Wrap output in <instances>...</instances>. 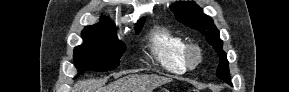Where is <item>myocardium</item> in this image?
<instances>
[{
  "mask_svg": "<svg viewBox=\"0 0 289 92\" xmlns=\"http://www.w3.org/2000/svg\"><path fill=\"white\" fill-rule=\"evenodd\" d=\"M185 65L189 69L196 68L202 61V50L195 43L187 44L184 51Z\"/></svg>",
  "mask_w": 289,
  "mask_h": 92,
  "instance_id": "1",
  "label": "myocardium"
}]
</instances>
